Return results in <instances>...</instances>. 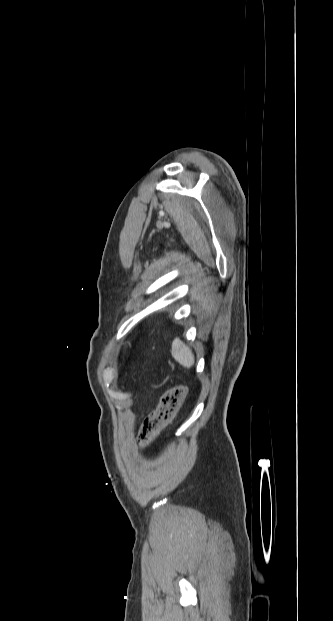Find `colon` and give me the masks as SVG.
I'll return each mask as SVG.
<instances>
[{"label": "colon", "instance_id": "colon-1", "mask_svg": "<svg viewBox=\"0 0 333 621\" xmlns=\"http://www.w3.org/2000/svg\"><path fill=\"white\" fill-rule=\"evenodd\" d=\"M186 392L187 387L179 384L163 393L156 408L143 421L138 434V445L146 446L157 438L178 411Z\"/></svg>", "mask_w": 333, "mask_h": 621}]
</instances>
